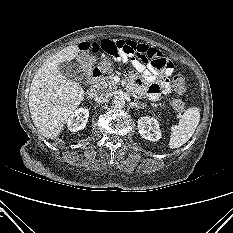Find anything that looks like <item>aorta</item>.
<instances>
[{
    "instance_id": "762f6f07",
    "label": "aorta",
    "mask_w": 233,
    "mask_h": 233,
    "mask_svg": "<svg viewBox=\"0 0 233 233\" xmlns=\"http://www.w3.org/2000/svg\"><path fill=\"white\" fill-rule=\"evenodd\" d=\"M112 104L116 108H123L125 105V98L121 95H115L112 100Z\"/></svg>"
}]
</instances>
